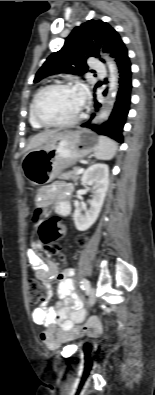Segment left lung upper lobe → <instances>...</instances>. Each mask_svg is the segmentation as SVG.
I'll list each match as a JSON object with an SVG mask.
<instances>
[{"instance_id":"left-lung-upper-lobe-1","label":"left lung upper lobe","mask_w":155,"mask_h":395,"mask_svg":"<svg viewBox=\"0 0 155 395\" xmlns=\"http://www.w3.org/2000/svg\"><path fill=\"white\" fill-rule=\"evenodd\" d=\"M100 48L110 53L117 64L128 55L125 44L113 27L101 20H89L76 27L62 49L47 58L34 82L62 72L82 75L88 70L86 60L92 56L100 57Z\"/></svg>"}]
</instances>
